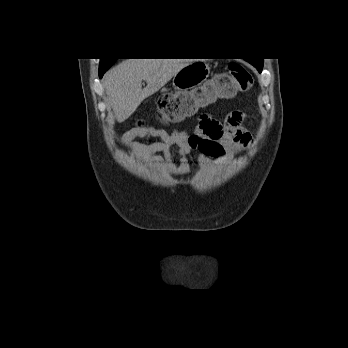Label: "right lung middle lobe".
Listing matches in <instances>:
<instances>
[{
    "label": "right lung middle lobe",
    "instance_id": "1",
    "mask_svg": "<svg viewBox=\"0 0 348 348\" xmlns=\"http://www.w3.org/2000/svg\"><path fill=\"white\" fill-rule=\"evenodd\" d=\"M115 61L116 59H101L100 67L109 68Z\"/></svg>",
    "mask_w": 348,
    "mask_h": 348
}]
</instances>
